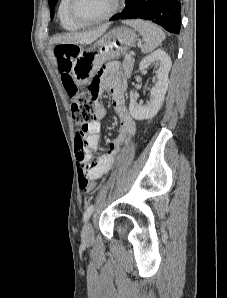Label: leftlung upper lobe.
Masks as SVG:
<instances>
[{
	"label": "left lung upper lobe",
	"instance_id": "5c2ea615",
	"mask_svg": "<svg viewBox=\"0 0 227 298\" xmlns=\"http://www.w3.org/2000/svg\"><path fill=\"white\" fill-rule=\"evenodd\" d=\"M56 1H57V0H48V3H49L51 12L53 11V9H54V7H55ZM52 16H53V15L51 14V17H52Z\"/></svg>",
	"mask_w": 227,
	"mask_h": 298
}]
</instances>
